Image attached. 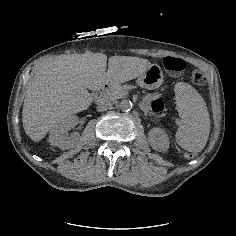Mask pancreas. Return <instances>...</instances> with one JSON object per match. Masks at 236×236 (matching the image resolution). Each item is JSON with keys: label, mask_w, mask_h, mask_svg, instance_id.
I'll return each mask as SVG.
<instances>
[{"label": "pancreas", "mask_w": 236, "mask_h": 236, "mask_svg": "<svg viewBox=\"0 0 236 236\" xmlns=\"http://www.w3.org/2000/svg\"><path fill=\"white\" fill-rule=\"evenodd\" d=\"M122 93H123L122 88L116 87V88H114V90H109L106 93H104L103 98L106 101L114 100L116 98V96H120V95H122Z\"/></svg>", "instance_id": "obj_1"}]
</instances>
